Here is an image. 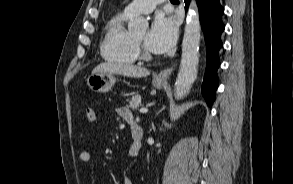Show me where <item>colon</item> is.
Instances as JSON below:
<instances>
[{
    "mask_svg": "<svg viewBox=\"0 0 293 184\" xmlns=\"http://www.w3.org/2000/svg\"><path fill=\"white\" fill-rule=\"evenodd\" d=\"M86 117L89 122H94L96 120V111L93 107H88L86 110Z\"/></svg>",
    "mask_w": 293,
    "mask_h": 184,
    "instance_id": "colon-1",
    "label": "colon"
}]
</instances>
